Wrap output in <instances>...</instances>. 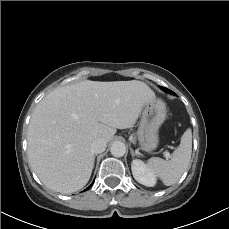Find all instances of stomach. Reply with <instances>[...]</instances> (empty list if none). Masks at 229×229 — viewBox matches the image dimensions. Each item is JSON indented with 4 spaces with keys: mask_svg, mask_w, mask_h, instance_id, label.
<instances>
[{
    "mask_svg": "<svg viewBox=\"0 0 229 229\" xmlns=\"http://www.w3.org/2000/svg\"><path fill=\"white\" fill-rule=\"evenodd\" d=\"M166 118V106L160 99L154 98L143 106L140 125L137 132L139 145L143 151L155 150L159 143V128Z\"/></svg>",
    "mask_w": 229,
    "mask_h": 229,
    "instance_id": "stomach-1",
    "label": "stomach"
}]
</instances>
